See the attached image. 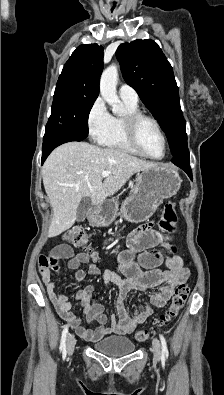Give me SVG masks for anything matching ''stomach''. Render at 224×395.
I'll use <instances>...</instances> for the list:
<instances>
[{
    "instance_id": "obj_1",
    "label": "stomach",
    "mask_w": 224,
    "mask_h": 395,
    "mask_svg": "<svg viewBox=\"0 0 224 395\" xmlns=\"http://www.w3.org/2000/svg\"><path fill=\"white\" fill-rule=\"evenodd\" d=\"M177 169L168 164H159L137 175L136 185L121 208L111 200L104 201L93 209L89 221L94 226H109L118 215L133 223L149 219L164 199L174 196L181 186Z\"/></svg>"
}]
</instances>
